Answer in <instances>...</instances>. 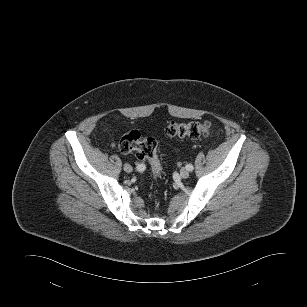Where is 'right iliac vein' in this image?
Instances as JSON below:
<instances>
[{"instance_id": "right-iliac-vein-1", "label": "right iliac vein", "mask_w": 307, "mask_h": 307, "mask_svg": "<svg viewBox=\"0 0 307 307\" xmlns=\"http://www.w3.org/2000/svg\"><path fill=\"white\" fill-rule=\"evenodd\" d=\"M124 171L127 172V173H131L133 171V168H132L131 165L125 164L124 165Z\"/></svg>"}]
</instances>
